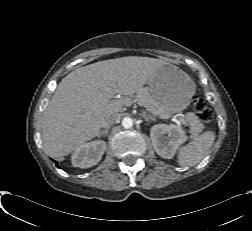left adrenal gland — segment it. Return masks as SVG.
Listing matches in <instances>:
<instances>
[{
    "mask_svg": "<svg viewBox=\"0 0 252 231\" xmlns=\"http://www.w3.org/2000/svg\"><path fill=\"white\" fill-rule=\"evenodd\" d=\"M145 119H146V120H148V119H153V117H152V116H149V117H146Z\"/></svg>",
    "mask_w": 252,
    "mask_h": 231,
    "instance_id": "obj_1",
    "label": "left adrenal gland"
}]
</instances>
